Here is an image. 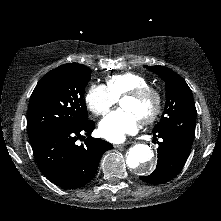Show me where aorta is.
<instances>
[{"label": "aorta", "mask_w": 221, "mask_h": 221, "mask_svg": "<svg viewBox=\"0 0 221 221\" xmlns=\"http://www.w3.org/2000/svg\"><path fill=\"white\" fill-rule=\"evenodd\" d=\"M126 162L131 172L146 175L153 172L156 166L153 150L146 144H135L127 154Z\"/></svg>", "instance_id": "obj_1"}]
</instances>
